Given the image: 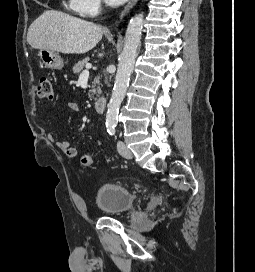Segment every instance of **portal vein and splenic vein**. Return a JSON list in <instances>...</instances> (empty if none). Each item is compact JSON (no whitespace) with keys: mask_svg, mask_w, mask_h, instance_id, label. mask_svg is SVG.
Masks as SVG:
<instances>
[{"mask_svg":"<svg viewBox=\"0 0 255 272\" xmlns=\"http://www.w3.org/2000/svg\"><path fill=\"white\" fill-rule=\"evenodd\" d=\"M92 65L89 63L86 65V69L81 73V75H89V69H91Z\"/></svg>","mask_w":255,"mask_h":272,"instance_id":"obj_1","label":"portal vein and splenic vein"}]
</instances>
